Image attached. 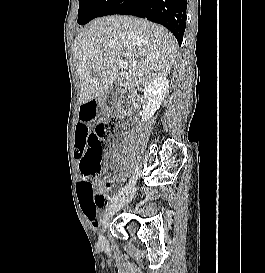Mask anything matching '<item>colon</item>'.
Returning a JSON list of instances; mask_svg holds the SVG:
<instances>
[{
    "instance_id": "obj_1",
    "label": "colon",
    "mask_w": 265,
    "mask_h": 273,
    "mask_svg": "<svg viewBox=\"0 0 265 273\" xmlns=\"http://www.w3.org/2000/svg\"><path fill=\"white\" fill-rule=\"evenodd\" d=\"M120 125L119 118L112 117L108 122L97 124L94 129H76V152L81 157L80 170L83 175L79 193L94 192L89 177L100 171L102 144L116 136Z\"/></svg>"
}]
</instances>
